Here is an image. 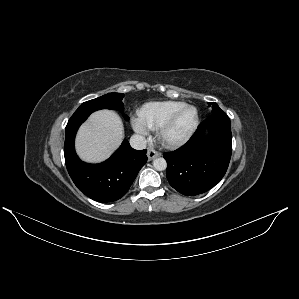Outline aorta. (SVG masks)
Instances as JSON below:
<instances>
[{"mask_svg": "<svg viewBox=\"0 0 299 299\" xmlns=\"http://www.w3.org/2000/svg\"><path fill=\"white\" fill-rule=\"evenodd\" d=\"M153 167L158 171H163L167 167V162L164 158H156L153 160Z\"/></svg>", "mask_w": 299, "mask_h": 299, "instance_id": "762f6f07", "label": "aorta"}]
</instances>
